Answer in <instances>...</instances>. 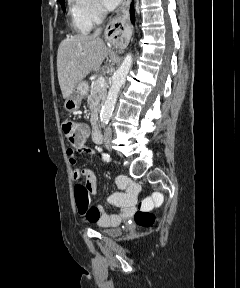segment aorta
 <instances>
[{"instance_id": "aorta-1", "label": "aorta", "mask_w": 240, "mask_h": 288, "mask_svg": "<svg viewBox=\"0 0 240 288\" xmlns=\"http://www.w3.org/2000/svg\"><path fill=\"white\" fill-rule=\"evenodd\" d=\"M132 65V55L127 54L121 64L112 77V85L109 89L105 103L102 106L100 112V122L102 127L109 123L110 118L117 101V97L121 87L126 81V77Z\"/></svg>"}]
</instances>
